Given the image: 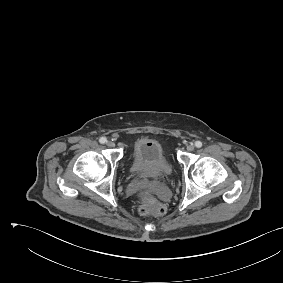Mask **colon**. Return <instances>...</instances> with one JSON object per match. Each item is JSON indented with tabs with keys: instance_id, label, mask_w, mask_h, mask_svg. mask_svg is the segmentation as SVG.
Wrapping results in <instances>:
<instances>
[{
	"instance_id": "obj_1",
	"label": "colon",
	"mask_w": 283,
	"mask_h": 283,
	"mask_svg": "<svg viewBox=\"0 0 283 283\" xmlns=\"http://www.w3.org/2000/svg\"><path fill=\"white\" fill-rule=\"evenodd\" d=\"M140 202L139 213L142 216H162L166 213V207L159 202L152 192L141 191L138 193Z\"/></svg>"
}]
</instances>
